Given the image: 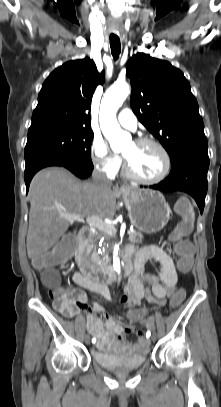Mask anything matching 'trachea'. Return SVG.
Instances as JSON below:
<instances>
[{"instance_id":"trachea-1","label":"trachea","mask_w":221,"mask_h":407,"mask_svg":"<svg viewBox=\"0 0 221 407\" xmlns=\"http://www.w3.org/2000/svg\"><path fill=\"white\" fill-rule=\"evenodd\" d=\"M110 47H111V53H112L114 60H117L119 58V54L121 52V44H120L119 37L110 36Z\"/></svg>"}]
</instances>
